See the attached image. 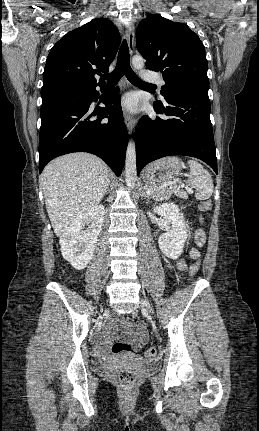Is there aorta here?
Returning <instances> with one entry per match:
<instances>
[{
  "instance_id": "762f6f07",
  "label": "aorta",
  "mask_w": 259,
  "mask_h": 431,
  "mask_svg": "<svg viewBox=\"0 0 259 431\" xmlns=\"http://www.w3.org/2000/svg\"><path fill=\"white\" fill-rule=\"evenodd\" d=\"M132 64L135 69H142L144 67V59L141 56H134ZM125 180L129 189L135 186L137 180V167H136V148L134 142H129L126 151L125 161Z\"/></svg>"
}]
</instances>
